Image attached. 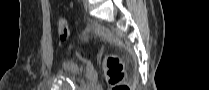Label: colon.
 Returning a JSON list of instances; mask_svg holds the SVG:
<instances>
[{"label": "colon", "instance_id": "colon-1", "mask_svg": "<svg viewBox=\"0 0 209 90\" xmlns=\"http://www.w3.org/2000/svg\"><path fill=\"white\" fill-rule=\"evenodd\" d=\"M57 32L61 40H66L70 36V27L66 19H58ZM103 69L111 90H131L130 85L125 81L126 68L119 56L108 55L103 60Z\"/></svg>", "mask_w": 209, "mask_h": 90}]
</instances>
